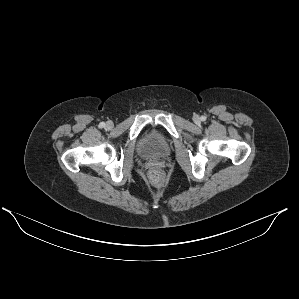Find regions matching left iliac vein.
Listing matches in <instances>:
<instances>
[{"instance_id": "1", "label": "left iliac vein", "mask_w": 299, "mask_h": 299, "mask_svg": "<svg viewBox=\"0 0 299 299\" xmlns=\"http://www.w3.org/2000/svg\"><path fill=\"white\" fill-rule=\"evenodd\" d=\"M198 120H199V117H198V116L194 117V121H195V122H198Z\"/></svg>"}]
</instances>
